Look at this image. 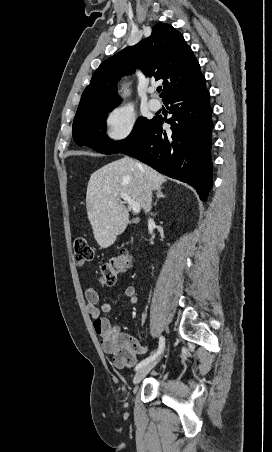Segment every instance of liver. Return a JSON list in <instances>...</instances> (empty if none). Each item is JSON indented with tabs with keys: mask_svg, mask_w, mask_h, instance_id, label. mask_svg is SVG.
<instances>
[{
	"mask_svg": "<svg viewBox=\"0 0 272 452\" xmlns=\"http://www.w3.org/2000/svg\"><path fill=\"white\" fill-rule=\"evenodd\" d=\"M165 181V176L128 156L95 171L87 186L86 209L98 245L109 247L128 225L129 213L120 193L144 208L145 187L157 190Z\"/></svg>",
	"mask_w": 272,
	"mask_h": 452,
	"instance_id": "6515ba94",
	"label": "liver"
}]
</instances>
